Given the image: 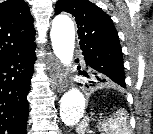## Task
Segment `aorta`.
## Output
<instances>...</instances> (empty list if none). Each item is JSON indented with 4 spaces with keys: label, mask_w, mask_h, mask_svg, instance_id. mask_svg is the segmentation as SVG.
I'll return each instance as SVG.
<instances>
[{
    "label": "aorta",
    "mask_w": 153,
    "mask_h": 134,
    "mask_svg": "<svg viewBox=\"0 0 153 134\" xmlns=\"http://www.w3.org/2000/svg\"><path fill=\"white\" fill-rule=\"evenodd\" d=\"M52 48L56 57L65 66L70 67L75 45V29L67 16L56 17L50 32ZM85 97L77 88H71L60 100V117L65 125H75L83 116Z\"/></svg>",
    "instance_id": "762f6f07"
}]
</instances>
